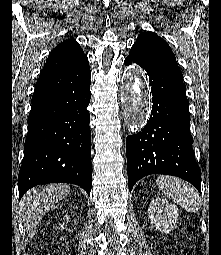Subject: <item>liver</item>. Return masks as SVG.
Returning a JSON list of instances; mask_svg holds the SVG:
<instances>
[{"instance_id":"1","label":"liver","mask_w":221,"mask_h":255,"mask_svg":"<svg viewBox=\"0 0 221 255\" xmlns=\"http://www.w3.org/2000/svg\"><path fill=\"white\" fill-rule=\"evenodd\" d=\"M69 193V185L51 184L32 188L23 196L19 205L18 214L30 237L35 235L37 225L42 216Z\"/></svg>"}]
</instances>
